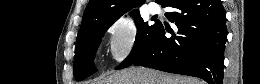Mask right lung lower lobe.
I'll use <instances>...</instances> for the list:
<instances>
[{"mask_svg": "<svg viewBox=\"0 0 260 84\" xmlns=\"http://www.w3.org/2000/svg\"><path fill=\"white\" fill-rule=\"evenodd\" d=\"M163 7L178 28L168 38L159 24L149 49L133 65L199 77L209 84H223L226 13L220 0H167Z\"/></svg>", "mask_w": 260, "mask_h": 84, "instance_id": "1", "label": "right lung lower lobe"}]
</instances>
